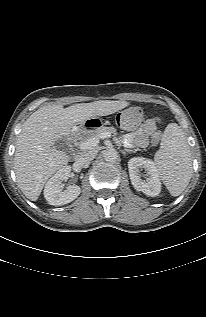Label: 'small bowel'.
Here are the masks:
<instances>
[{
	"instance_id": "c3829d8e",
	"label": "small bowel",
	"mask_w": 206,
	"mask_h": 317,
	"mask_svg": "<svg viewBox=\"0 0 206 317\" xmlns=\"http://www.w3.org/2000/svg\"><path fill=\"white\" fill-rule=\"evenodd\" d=\"M158 123L157 118L147 119L141 127L124 136V144L127 147H145L148 145L150 138H152V143H156L159 135L157 131Z\"/></svg>"
}]
</instances>
